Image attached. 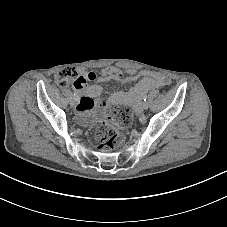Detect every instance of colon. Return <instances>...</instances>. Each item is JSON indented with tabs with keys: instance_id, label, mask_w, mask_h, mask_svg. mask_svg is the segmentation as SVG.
I'll return each mask as SVG.
<instances>
[{
	"instance_id": "obj_1",
	"label": "colon",
	"mask_w": 227,
	"mask_h": 227,
	"mask_svg": "<svg viewBox=\"0 0 227 227\" xmlns=\"http://www.w3.org/2000/svg\"><path fill=\"white\" fill-rule=\"evenodd\" d=\"M78 74L75 68L62 69L57 79L61 85L68 81L77 80ZM131 110L127 107L115 109L112 117H108L92 126L88 132L89 141L97 149L104 152L115 150L123 141V129L131 121Z\"/></svg>"
}]
</instances>
